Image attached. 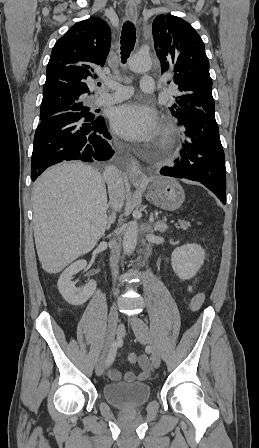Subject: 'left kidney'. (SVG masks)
<instances>
[{"label": "left kidney", "instance_id": "left-kidney-1", "mask_svg": "<svg viewBox=\"0 0 259 448\" xmlns=\"http://www.w3.org/2000/svg\"><path fill=\"white\" fill-rule=\"evenodd\" d=\"M204 260V250L198 244H185L175 248L171 256L172 268L180 280L194 278Z\"/></svg>", "mask_w": 259, "mask_h": 448}]
</instances>
